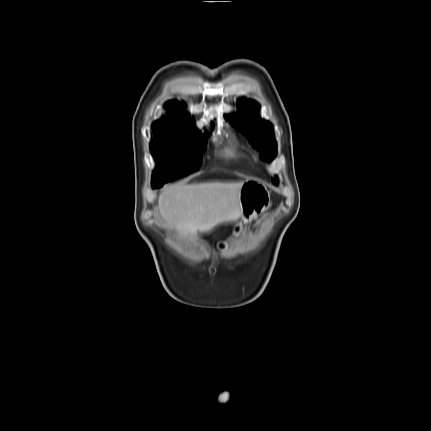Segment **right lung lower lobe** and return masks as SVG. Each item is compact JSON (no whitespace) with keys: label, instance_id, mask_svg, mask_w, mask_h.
Masks as SVG:
<instances>
[{"label":"right lung lower lobe","instance_id":"98d812e1","mask_svg":"<svg viewBox=\"0 0 431 431\" xmlns=\"http://www.w3.org/2000/svg\"><path fill=\"white\" fill-rule=\"evenodd\" d=\"M153 186V188H158L157 186H155V185H152Z\"/></svg>","mask_w":431,"mask_h":431}]
</instances>
